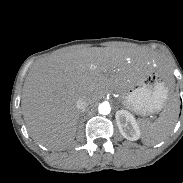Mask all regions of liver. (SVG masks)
Segmentation results:
<instances>
[{
  "label": "liver",
  "mask_w": 183,
  "mask_h": 183,
  "mask_svg": "<svg viewBox=\"0 0 183 183\" xmlns=\"http://www.w3.org/2000/svg\"><path fill=\"white\" fill-rule=\"evenodd\" d=\"M155 63L143 51L110 47L73 49L36 61L21 100L30 136L49 149H63L76 135L78 99L90 105L110 92L122 93L142 68Z\"/></svg>",
  "instance_id": "6515ba94"
}]
</instances>
